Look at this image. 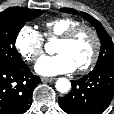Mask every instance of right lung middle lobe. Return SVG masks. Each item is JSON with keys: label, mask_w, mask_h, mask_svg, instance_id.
Here are the masks:
<instances>
[{"label": "right lung middle lobe", "mask_w": 114, "mask_h": 114, "mask_svg": "<svg viewBox=\"0 0 114 114\" xmlns=\"http://www.w3.org/2000/svg\"><path fill=\"white\" fill-rule=\"evenodd\" d=\"M42 12L22 8L6 9L0 13V67H13L24 63L15 48L17 35L27 21L37 18Z\"/></svg>", "instance_id": "1"}]
</instances>
